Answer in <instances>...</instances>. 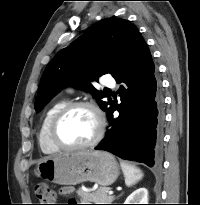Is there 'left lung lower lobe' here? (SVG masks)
<instances>
[{"mask_svg":"<svg viewBox=\"0 0 200 205\" xmlns=\"http://www.w3.org/2000/svg\"><path fill=\"white\" fill-rule=\"evenodd\" d=\"M113 77L121 103L111 102L107 115L110 129L95 148L122 159L159 166L162 157L164 103L149 48L137 32ZM120 114L114 117V111Z\"/></svg>","mask_w":200,"mask_h":205,"instance_id":"obj_1","label":"left lung lower lobe"}]
</instances>
